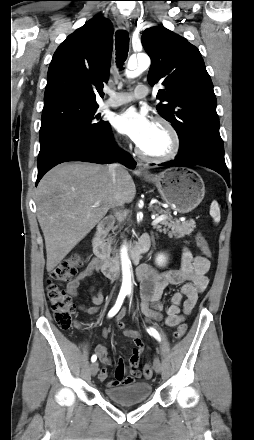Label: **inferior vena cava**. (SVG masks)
<instances>
[{
	"label": "inferior vena cava",
	"instance_id": "602c4592",
	"mask_svg": "<svg viewBox=\"0 0 254 440\" xmlns=\"http://www.w3.org/2000/svg\"><path fill=\"white\" fill-rule=\"evenodd\" d=\"M120 168H121V166L118 163H112V164H110L108 166V171H109V174L112 177V180H113L114 184L116 182L117 174H118ZM116 217H117L118 220L121 219V215L119 213H116Z\"/></svg>",
	"mask_w": 254,
	"mask_h": 440
}]
</instances>
